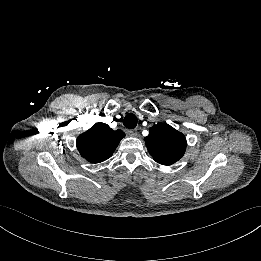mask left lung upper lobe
Wrapping results in <instances>:
<instances>
[{"label": "left lung upper lobe", "mask_w": 261, "mask_h": 261, "mask_svg": "<svg viewBox=\"0 0 261 261\" xmlns=\"http://www.w3.org/2000/svg\"><path fill=\"white\" fill-rule=\"evenodd\" d=\"M144 140L151 156L162 165L177 162L186 150L185 136L167 123L151 127L149 135Z\"/></svg>", "instance_id": "obj_1"}]
</instances>
